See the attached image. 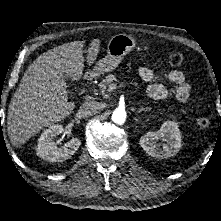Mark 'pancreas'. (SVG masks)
<instances>
[{
    "instance_id": "pancreas-1",
    "label": "pancreas",
    "mask_w": 221,
    "mask_h": 221,
    "mask_svg": "<svg viewBox=\"0 0 221 221\" xmlns=\"http://www.w3.org/2000/svg\"><path fill=\"white\" fill-rule=\"evenodd\" d=\"M117 81V78L115 75L110 74L108 76L105 77V79L102 80V82L98 85L100 90H101V94L105 97L108 96L109 92H108V88L111 86V84Z\"/></svg>"
}]
</instances>
